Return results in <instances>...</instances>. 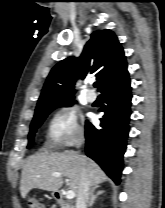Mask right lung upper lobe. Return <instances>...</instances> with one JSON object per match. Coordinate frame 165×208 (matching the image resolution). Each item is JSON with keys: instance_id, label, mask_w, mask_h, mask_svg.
Returning a JSON list of instances; mask_svg holds the SVG:
<instances>
[{"instance_id": "right-lung-upper-lobe-1", "label": "right lung upper lobe", "mask_w": 165, "mask_h": 208, "mask_svg": "<svg viewBox=\"0 0 165 208\" xmlns=\"http://www.w3.org/2000/svg\"><path fill=\"white\" fill-rule=\"evenodd\" d=\"M93 73L100 83L99 91L127 73L123 48L111 30L95 31L80 57H68L52 68L35 113L53 104L74 101L76 80Z\"/></svg>"}]
</instances>
